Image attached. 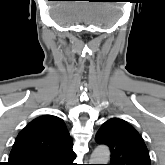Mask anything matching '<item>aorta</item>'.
<instances>
[{
	"mask_svg": "<svg viewBox=\"0 0 165 165\" xmlns=\"http://www.w3.org/2000/svg\"><path fill=\"white\" fill-rule=\"evenodd\" d=\"M110 160V150L107 146L96 147L91 155L90 164H108Z\"/></svg>",
	"mask_w": 165,
	"mask_h": 165,
	"instance_id": "1",
	"label": "aorta"
}]
</instances>
